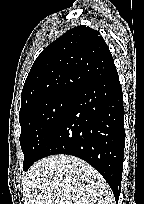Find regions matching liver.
Wrapping results in <instances>:
<instances>
[{
    "instance_id": "1",
    "label": "liver",
    "mask_w": 144,
    "mask_h": 204,
    "mask_svg": "<svg viewBox=\"0 0 144 204\" xmlns=\"http://www.w3.org/2000/svg\"><path fill=\"white\" fill-rule=\"evenodd\" d=\"M22 185L24 204H114L102 175L70 155H53L34 163Z\"/></svg>"
}]
</instances>
